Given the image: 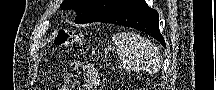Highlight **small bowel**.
Instances as JSON below:
<instances>
[{
    "mask_svg": "<svg viewBox=\"0 0 216 90\" xmlns=\"http://www.w3.org/2000/svg\"><path fill=\"white\" fill-rule=\"evenodd\" d=\"M99 82V74L97 70L91 66H85L83 68V89L95 90ZM56 90H71V80L68 77L64 78V83L57 87Z\"/></svg>",
    "mask_w": 216,
    "mask_h": 90,
    "instance_id": "small-bowel-1",
    "label": "small bowel"
}]
</instances>
